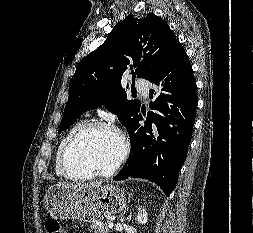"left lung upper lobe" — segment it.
Here are the masks:
<instances>
[{
	"label": "left lung upper lobe",
	"instance_id": "obj_1",
	"mask_svg": "<svg viewBox=\"0 0 253 233\" xmlns=\"http://www.w3.org/2000/svg\"><path fill=\"white\" fill-rule=\"evenodd\" d=\"M177 44L168 24L153 13L145 18L126 17L105 42L78 64L69 86V99L59 132L70 127L84 112L105 104L129 131L141 106L127 100L121 87L126 72L152 81Z\"/></svg>",
	"mask_w": 253,
	"mask_h": 233
}]
</instances>
